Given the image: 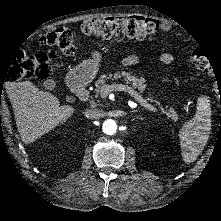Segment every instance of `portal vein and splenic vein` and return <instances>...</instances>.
Listing matches in <instances>:
<instances>
[{"mask_svg": "<svg viewBox=\"0 0 221 221\" xmlns=\"http://www.w3.org/2000/svg\"><path fill=\"white\" fill-rule=\"evenodd\" d=\"M116 89L118 91H126L129 95H132V97L138 103H141L143 101L142 95L140 93H138L135 89H133L129 84H118V85L112 84L111 86L107 85L105 87V89H103L101 91V96L103 98H106L108 96V92H110L111 90L115 91ZM150 110H155V108L153 106H151Z\"/></svg>", "mask_w": 221, "mask_h": 221, "instance_id": "18ae733b", "label": "portal vein and splenic vein"}]
</instances>
